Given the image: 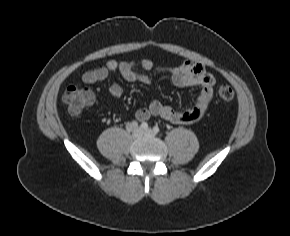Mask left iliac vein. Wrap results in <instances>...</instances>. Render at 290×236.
I'll list each match as a JSON object with an SVG mask.
<instances>
[{"instance_id": "4c4485c4", "label": "left iliac vein", "mask_w": 290, "mask_h": 236, "mask_svg": "<svg viewBox=\"0 0 290 236\" xmlns=\"http://www.w3.org/2000/svg\"><path fill=\"white\" fill-rule=\"evenodd\" d=\"M144 134L147 136L153 137L155 136L156 133L152 129H147L144 131Z\"/></svg>"}]
</instances>
